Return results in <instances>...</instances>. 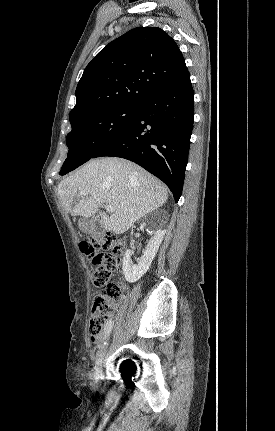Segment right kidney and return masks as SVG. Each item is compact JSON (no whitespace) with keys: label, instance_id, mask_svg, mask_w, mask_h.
<instances>
[{"label":"right kidney","instance_id":"obj_1","mask_svg":"<svg viewBox=\"0 0 275 431\" xmlns=\"http://www.w3.org/2000/svg\"><path fill=\"white\" fill-rule=\"evenodd\" d=\"M146 223L141 225V228H144ZM152 237L150 238L146 249L143 251V255L137 259V264H134L131 260L132 252L131 250H127L123 262L122 269L123 274L125 276L126 281L130 283H134L138 281L149 269L155 255L159 249L160 244L165 235L164 230H157L153 232Z\"/></svg>","mask_w":275,"mask_h":431}]
</instances>
